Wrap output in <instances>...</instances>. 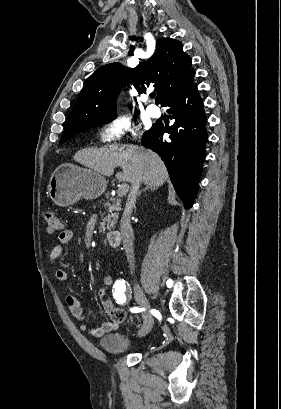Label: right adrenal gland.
Masks as SVG:
<instances>
[{
	"label": "right adrenal gland",
	"instance_id": "1",
	"mask_svg": "<svg viewBox=\"0 0 281 409\" xmlns=\"http://www.w3.org/2000/svg\"><path fill=\"white\" fill-rule=\"evenodd\" d=\"M156 190V188H158V186H145V188H142V190H139L138 192V196H140V194H142L143 190Z\"/></svg>",
	"mask_w": 281,
	"mask_h": 409
}]
</instances>
